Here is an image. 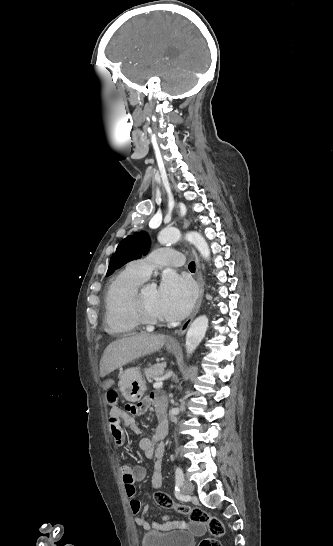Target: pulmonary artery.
<instances>
[{
	"mask_svg": "<svg viewBox=\"0 0 333 546\" xmlns=\"http://www.w3.org/2000/svg\"><path fill=\"white\" fill-rule=\"evenodd\" d=\"M184 263L183 254L165 248H160L149 255L137 259L131 263V266L135 268L145 279H147L151 272L158 266H182Z\"/></svg>",
	"mask_w": 333,
	"mask_h": 546,
	"instance_id": "1",
	"label": "pulmonary artery"
}]
</instances>
